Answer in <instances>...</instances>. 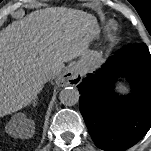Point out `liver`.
I'll list each match as a JSON object with an SVG mask.
<instances>
[{
    "label": "liver",
    "mask_w": 151,
    "mask_h": 151,
    "mask_svg": "<svg viewBox=\"0 0 151 151\" xmlns=\"http://www.w3.org/2000/svg\"><path fill=\"white\" fill-rule=\"evenodd\" d=\"M93 15L48 8L15 21L0 32V117L30 104L55 67L85 58L95 34ZM34 134L28 126L27 137Z\"/></svg>",
    "instance_id": "6515ba94"
}]
</instances>
